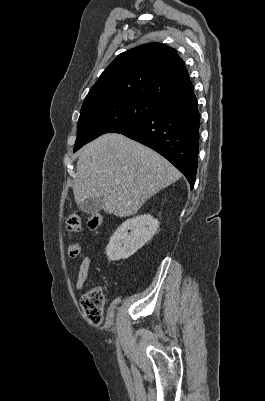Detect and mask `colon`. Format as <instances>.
<instances>
[{"mask_svg":"<svg viewBox=\"0 0 265 401\" xmlns=\"http://www.w3.org/2000/svg\"><path fill=\"white\" fill-rule=\"evenodd\" d=\"M102 222L101 214L94 212L89 215L88 226L90 229H97ZM66 228L70 233H77L81 228V216L79 213H71L66 221ZM80 253V246L77 242H71L68 246V254L75 258ZM81 307L86 320L93 325L102 322L105 307V294L103 287L95 286L88 290L81 298Z\"/></svg>","mask_w":265,"mask_h":401,"instance_id":"1","label":"colon"}]
</instances>
